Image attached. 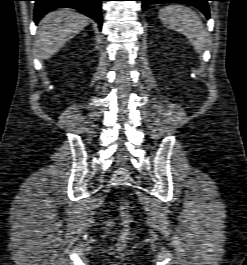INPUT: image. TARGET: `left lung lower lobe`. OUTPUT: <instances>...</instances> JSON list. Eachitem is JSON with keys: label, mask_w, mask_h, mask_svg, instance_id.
<instances>
[{"label": "left lung lower lobe", "mask_w": 247, "mask_h": 265, "mask_svg": "<svg viewBox=\"0 0 247 265\" xmlns=\"http://www.w3.org/2000/svg\"><path fill=\"white\" fill-rule=\"evenodd\" d=\"M142 1V9L145 10L148 5L158 3H186L197 7L201 12L205 14L207 18L210 17L209 7L207 2L212 0H139Z\"/></svg>", "instance_id": "obj_1"}]
</instances>
